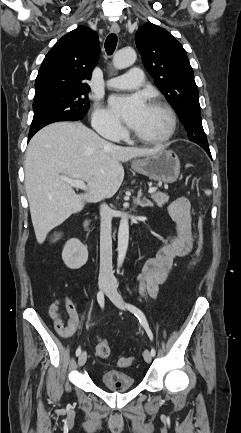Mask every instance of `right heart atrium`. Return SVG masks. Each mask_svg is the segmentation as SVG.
<instances>
[{
	"instance_id": "1",
	"label": "right heart atrium",
	"mask_w": 241,
	"mask_h": 433,
	"mask_svg": "<svg viewBox=\"0 0 241 433\" xmlns=\"http://www.w3.org/2000/svg\"><path fill=\"white\" fill-rule=\"evenodd\" d=\"M92 126L99 133L110 138H120L124 128L119 120L107 109L97 107L92 115Z\"/></svg>"
}]
</instances>
